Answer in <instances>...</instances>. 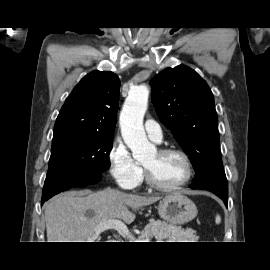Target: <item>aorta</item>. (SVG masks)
<instances>
[{"label":"aorta","instance_id":"obj_1","mask_svg":"<svg viewBox=\"0 0 270 270\" xmlns=\"http://www.w3.org/2000/svg\"><path fill=\"white\" fill-rule=\"evenodd\" d=\"M149 90L145 85L132 89L120 113L121 134L133 158L143 160L155 152L145 134L143 118L148 106Z\"/></svg>","mask_w":270,"mask_h":270}]
</instances>
